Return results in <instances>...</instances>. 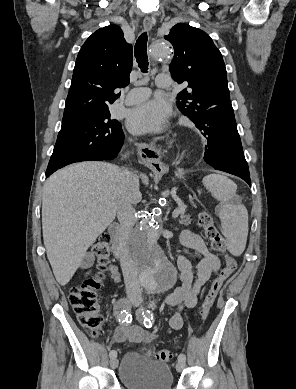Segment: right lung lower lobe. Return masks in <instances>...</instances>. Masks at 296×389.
I'll list each match as a JSON object with an SVG mask.
<instances>
[{"mask_svg": "<svg viewBox=\"0 0 296 389\" xmlns=\"http://www.w3.org/2000/svg\"><path fill=\"white\" fill-rule=\"evenodd\" d=\"M123 140H124V138H123ZM122 144H123V142H122ZM122 144H121V146H119L116 149H113L111 151H103V152H99V153H93L91 155H88V156L80 159L79 161H76V162L88 161V160H93V161L112 160L119 153V151L122 147ZM64 166H66V165H61V166H57V167H53V168H47L46 177L50 176L54 171H56L57 169L62 168Z\"/></svg>", "mask_w": 296, "mask_h": 389, "instance_id": "98d812e1", "label": "right lung lower lobe"}]
</instances>
